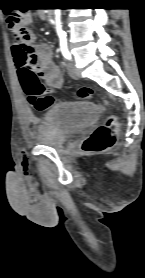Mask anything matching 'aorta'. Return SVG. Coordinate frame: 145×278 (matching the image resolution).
I'll return each mask as SVG.
<instances>
[{
  "mask_svg": "<svg viewBox=\"0 0 145 278\" xmlns=\"http://www.w3.org/2000/svg\"><path fill=\"white\" fill-rule=\"evenodd\" d=\"M60 9H56L55 10V20H56V30L58 35H63V30H62V26H61V21H60Z\"/></svg>",
  "mask_w": 145,
  "mask_h": 278,
  "instance_id": "762f6f07",
  "label": "aorta"
}]
</instances>
